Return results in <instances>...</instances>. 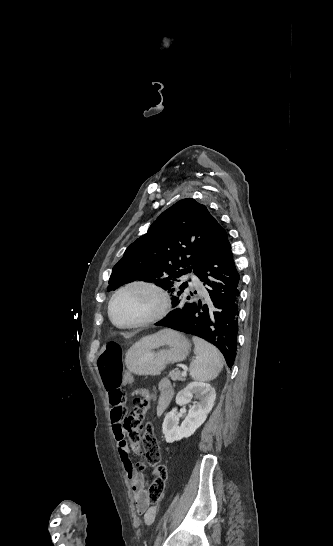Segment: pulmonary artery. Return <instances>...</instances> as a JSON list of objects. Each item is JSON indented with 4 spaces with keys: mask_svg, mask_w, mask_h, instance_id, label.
Returning <instances> with one entry per match:
<instances>
[{
    "mask_svg": "<svg viewBox=\"0 0 333 546\" xmlns=\"http://www.w3.org/2000/svg\"><path fill=\"white\" fill-rule=\"evenodd\" d=\"M192 279H193V282H194L195 285H197V286L201 285V283H200V281H199V279L197 277L193 276Z\"/></svg>",
    "mask_w": 333,
    "mask_h": 546,
    "instance_id": "obj_1",
    "label": "pulmonary artery"
}]
</instances>
